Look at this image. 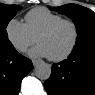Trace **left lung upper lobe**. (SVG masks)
I'll return each instance as SVG.
<instances>
[{
  "label": "left lung upper lobe",
  "instance_id": "left-lung-upper-lobe-1",
  "mask_svg": "<svg viewBox=\"0 0 95 95\" xmlns=\"http://www.w3.org/2000/svg\"><path fill=\"white\" fill-rule=\"evenodd\" d=\"M53 10L70 17L77 27L78 37L73 50L95 42V13L77 4H66Z\"/></svg>",
  "mask_w": 95,
  "mask_h": 95
}]
</instances>
